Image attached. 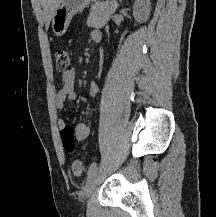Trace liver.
Here are the masks:
<instances>
[{
    "mask_svg": "<svg viewBox=\"0 0 216 217\" xmlns=\"http://www.w3.org/2000/svg\"><path fill=\"white\" fill-rule=\"evenodd\" d=\"M46 13V28L49 27L54 11L60 0H41Z\"/></svg>",
    "mask_w": 216,
    "mask_h": 217,
    "instance_id": "6515ba94",
    "label": "liver"
}]
</instances>
